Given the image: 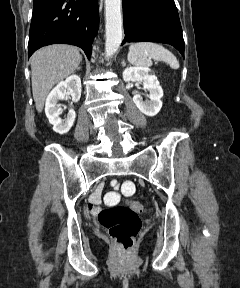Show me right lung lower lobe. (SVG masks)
Returning a JSON list of instances; mask_svg holds the SVG:
<instances>
[{
    "mask_svg": "<svg viewBox=\"0 0 240 288\" xmlns=\"http://www.w3.org/2000/svg\"><path fill=\"white\" fill-rule=\"evenodd\" d=\"M98 24V0H34L28 54L65 43L82 48L90 59Z\"/></svg>",
    "mask_w": 240,
    "mask_h": 288,
    "instance_id": "98d812e1",
    "label": "right lung lower lobe"
}]
</instances>
